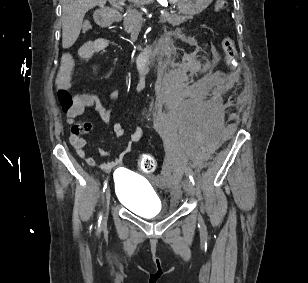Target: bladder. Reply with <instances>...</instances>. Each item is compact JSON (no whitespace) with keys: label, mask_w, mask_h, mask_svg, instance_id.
Here are the masks:
<instances>
[{"label":"bladder","mask_w":308,"mask_h":283,"mask_svg":"<svg viewBox=\"0 0 308 283\" xmlns=\"http://www.w3.org/2000/svg\"><path fill=\"white\" fill-rule=\"evenodd\" d=\"M114 193L120 204L139 216L154 218L165 213L163 202L150 182L127 169L116 170Z\"/></svg>","instance_id":"31cf9c89"}]
</instances>
